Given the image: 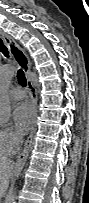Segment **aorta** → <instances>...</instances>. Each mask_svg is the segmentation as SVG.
<instances>
[{"instance_id": "1", "label": "aorta", "mask_w": 89, "mask_h": 203, "mask_svg": "<svg viewBox=\"0 0 89 203\" xmlns=\"http://www.w3.org/2000/svg\"><path fill=\"white\" fill-rule=\"evenodd\" d=\"M14 76V70L11 66L7 65L2 68L0 73V122L2 124L8 123L11 117V100L6 92V88L9 85L11 79ZM18 190L17 188H12L10 193L5 198L4 203H16Z\"/></svg>"}]
</instances>
